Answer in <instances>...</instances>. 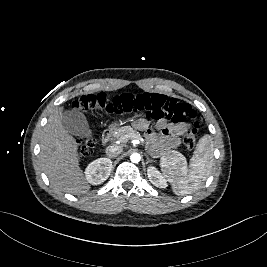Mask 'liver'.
<instances>
[{"instance_id":"liver-1","label":"liver","mask_w":267,"mask_h":267,"mask_svg":"<svg viewBox=\"0 0 267 267\" xmlns=\"http://www.w3.org/2000/svg\"><path fill=\"white\" fill-rule=\"evenodd\" d=\"M59 108L50 115L40 140V163L50 183L70 194H83L91 187L80 168L78 144L62 124Z\"/></svg>"}]
</instances>
